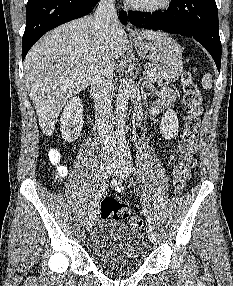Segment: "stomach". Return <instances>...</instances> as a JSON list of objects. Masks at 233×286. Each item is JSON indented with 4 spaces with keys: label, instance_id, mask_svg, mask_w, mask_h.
<instances>
[{
    "label": "stomach",
    "instance_id": "0dacf381",
    "mask_svg": "<svg viewBox=\"0 0 233 286\" xmlns=\"http://www.w3.org/2000/svg\"><path fill=\"white\" fill-rule=\"evenodd\" d=\"M138 54L153 65L180 69L182 59L181 46L171 37L162 34L150 42L135 41Z\"/></svg>",
    "mask_w": 233,
    "mask_h": 286
}]
</instances>
